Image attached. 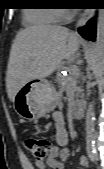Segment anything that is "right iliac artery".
<instances>
[{"instance_id": "82829eb1", "label": "right iliac artery", "mask_w": 104, "mask_h": 169, "mask_svg": "<svg viewBox=\"0 0 104 169\" xmlns=\"http://www.w3.org/2000/svg\"><path fill=\"white\" fill-rule=\"evenodd\" d=\"M86 150H87L88 156L94 162L95 156H96V148H95V141L94 140H87Z\"/></svg>"}]
</instances>
